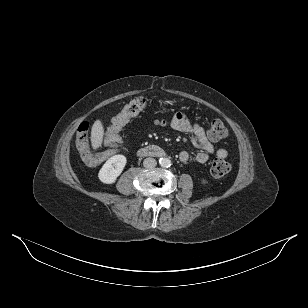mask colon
Returning a JSON list of instances; mask_svg holds the SVG:
<instances>
[{
    "label": "colon",
    "instance_id": "1",
    "mask_svg": "<svg viewBox=\"0 0 308 308\" xmlns=\"http://www.w3.org/2000/svg\"><path fill=\"white\" fill-rule=\"evenodd\" d=\"M149 101L145 97H138L124 106L122 111L112 120L109 127L105 128L103 135L104 143L117 145L120 143L118 132L133 117L143 112L148 106ZM89 124L82 122L76 133V148L84 163L89 166L99 164L114 157L113 149H106L105 152H96L91 149L88 139ZM228 129L220 120L212 121L208 136L212 141H220L228 136ZM232 165L224 158H216L211 165V174L215 177H223L231 171Z\"/></svg>",
    "mask_w": 308,
    "mask_h": 308
}]
</instances>
